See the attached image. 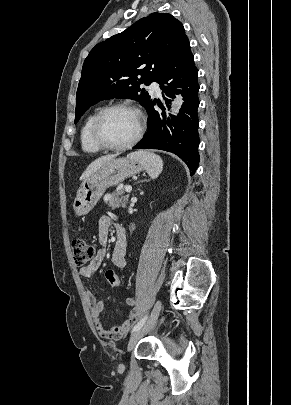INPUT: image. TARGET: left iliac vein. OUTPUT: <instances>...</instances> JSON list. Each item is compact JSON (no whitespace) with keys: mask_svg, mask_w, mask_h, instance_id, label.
<instances>
[{"mask_svg":"<svg viewBox=\"0 0 291 405\" xmlns=\"http://www.w3.org/2000/svg\"><path fill=\"white\" fill-rule=\"evenodd\" d=\"M161 307H162V303L160 300H158L155 303V306L151 312L150 317L148 318V320L146 321V323L137 331H135L128 342V351H131L135 345L137 344V342L144 336L146 335L156 324V321L159 317L160 311H161Z\"/></svg>","mask_w":291,"mask_h":405,"instance_id":"1","label":"left iliac vein"}]
</instances>
